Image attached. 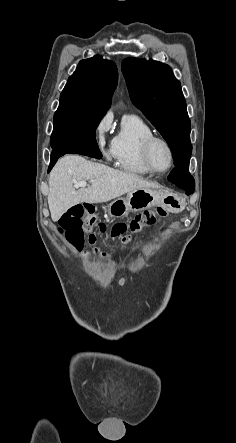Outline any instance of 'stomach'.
Listing matches in <instances>:
<instances>
[{
  "instance_id": "stomach-1",
  "label": "stomach",
  "mask_w": 236,
  "mask_h": 443,
  "mask_svg": "<svg viewBox=\"0 0 236 443\" xmlns=\"http://www.w3.org/2000/svg\"><path fill=\"white\" fill-rule=\"evenodd\" d=\"M157 205L177 213L183 210L185 203L181 197L172 192L160 188H145L129 192L126 197L114 200L103 209L111 217L121 218L130 212L143 211Z\"/></svg>"
}]
</instances>
